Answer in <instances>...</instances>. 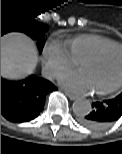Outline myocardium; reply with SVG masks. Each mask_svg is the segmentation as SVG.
I'll return each instance as SVG.
<instances>
[{
	"mask_svg": "<svg viewBox=\"0 0 122 154\" xmlns=\"http://www.w3.org/2000/svg\"><path fill=\"white\" fill-rule=\"evenodd\" d=\"M115 49H119V50H122V45H111V46H108L106 48H103L95 53H92V54H89L87 56H84L80 61H79V65L81 67V64L83 62H86V61H92V60H97L99 59L100 57H102L104 54L112 51V50H115ZM122 87V76L118 79V81H116L114 84L104 88V89H101V90H98V91H94L93 93L95 95H98V96H102V95H107V94H110V93H113L115 92L116 90H118L119 88Z\"/></svg>",
	"mask_w": 122,
	"mask_h": 154,
	"instance_id": "obj_1",
	"label": "myocardium"
}]
</instances>
